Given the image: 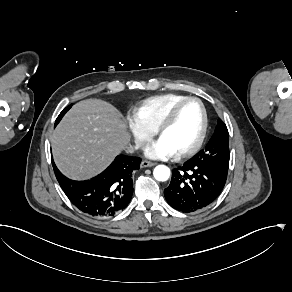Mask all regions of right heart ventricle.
I'll return each mask as SVG.
<instances>
[{
  "label": "right heart ventricle",
  "mask_w": 292,
  "mask_h": 292,
  "mask_svg": "<svg viewBox=\"0 0 292 292\" xmlns=\"http://www.w3.org/2000/svg\"><path fill=\"white\" fill-rule=\"evenodd\" d=\"M185 97L187 96L174 92L151 96L133 106L131 112L141 124L153 130L157 128L168 108Z\"/></svg>",
  "instance_id": "right-heart-ventricle-1"
}]
</instances>
